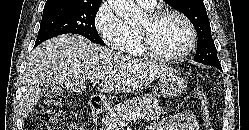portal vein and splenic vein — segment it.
<instances>
[{
    "instance_id": "obj_1",
    "label": "portal vein and splenic vein",
    "mask_w": 249,
    "mask_h": 130,
    "mask_svg": "<svg viewBox=\"0 0 249 130\" xmlns=\"http://www.w3.org/2000/svg\"><path fill=\"white\" fill-rule=\"evenodd\" d=\"M91 82L93 84L99 83V81L95 80V79H92ZM143 117H144V114L139 113V112L128 113V114H126V115L123 116V120L124 121H135V120H138V119L143 118Z\"/></svg>"
}]
</instances>
